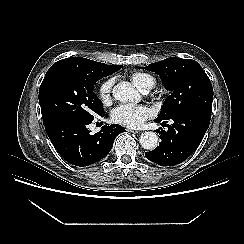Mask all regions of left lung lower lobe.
<instances>
[{
  "mask_svg": "<svg viewBox=\"0 0 244 244\" xmlns=\"http://www.w3.org/2000/svg\"><path fill=\"white\" fill-rule=\"evenodd\" d=\"M168 130H158L159 146L145 153V157L161 166H174L186 160L199 146L210 123L211 114L201 110H186L171 118ZM169 119H156L166 123Z\"/></svg>",
  "mask_w": 244,
  "mask_h": 244,
  "instance_id": "obj_1",
  "label": "left lung lower lobe"
}]
</instances>
